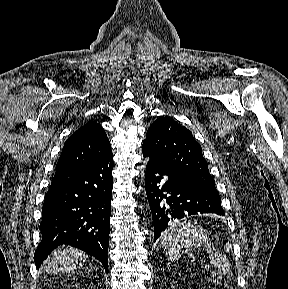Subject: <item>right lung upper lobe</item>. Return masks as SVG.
Returning <instances> with one entry per match:
<instances>
[{
	"mask_svg": "<svg viewBox=\"0 0 288 289\" xmlns=\"http://www.w3.org/2000/svg\"><path fill=\"white\" fill-rule=\"evenodd\" d=\"M110 155L112 150L104 129L91 121L66 140L56 171L87 167Z\"/></svg>",
	"mask_w": 288,
	"mask_h": 289,
	"instance_id": "right-lung-upper-lobe-1",
	"label": "right lung upper lobe"
}]
</instances>
